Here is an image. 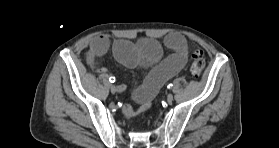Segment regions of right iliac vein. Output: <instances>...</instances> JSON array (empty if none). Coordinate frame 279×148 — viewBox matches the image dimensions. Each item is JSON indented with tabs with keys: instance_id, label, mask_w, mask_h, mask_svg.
<instances>
[{
	"instance_id": "63e3f726",
	"label": "right iliac vein",
	"mask_w": 279,
	"mask_h": 148,
	"mask_svg": "<svg viewBox=\"0 0 279 148\" xmlns=\"http://www.w3.org/2000/svg\"><path fill=\"white\" fill-rule=\"evenodd\" d=\"M110 90L113 94L117 93L118 88L115 85H111Z\"/></svg>"
}]
</instances>
